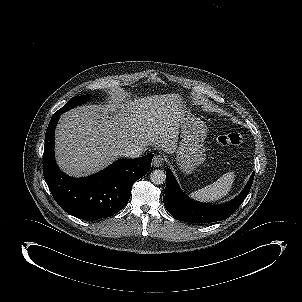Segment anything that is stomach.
I'll return each mask as SVG.
<instances>
[{
  "mask_svg": "<svg viewBox=\"0 0 302 302\" xmlns=\"http://www.w3.org/2000/svg\"><path fill=\"white\" fill-rule=\"evenodd\" d=\"M179 123L182 139L176 150V161L179 169L189 175L205 160L207 127L184 108L180 113Z\"/></svg>",
  "mask_w": 302,
  "mask_h": 302,
  "instance_id": "stomach-1",
  "label": "stomach"
}]
</instances>
